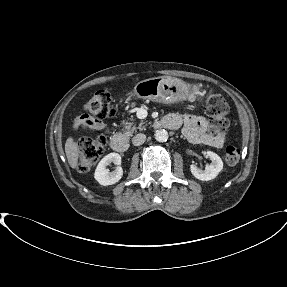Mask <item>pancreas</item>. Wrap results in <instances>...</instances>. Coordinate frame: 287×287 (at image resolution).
I'll use <instances>...</instances> for the list:
<instances>
[{"label":"pancreas","mask_w":287,"mask_h":287,"mask_svg":"<svg viewBox=\"0 0 287 287\" xmlns=\"http://www.w3.org/2000/svg\"><path fill=\"white\" fill-rule=\"evenodd\" d=\"M123 124H124L123 130H125L124 134L127 137L132 136V134L134 132H137V130H142L144 128V126H143L144 123H140L138 126H136V124L133 122H124Z\"/></svg>","instance_id":"1"}]
</instances>
